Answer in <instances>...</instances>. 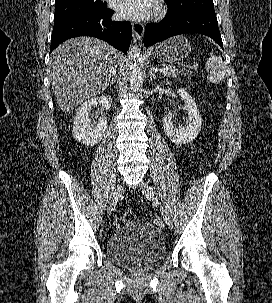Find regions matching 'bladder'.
Wrapping results in <instances>:
<instances>
[{"label": "bladder", "mask_w": 272, "mask_h": 303, "mask_svg": "<svg viewBox=\"0 0 272 303\" xmlns=\"http://www.w3.org/2000/svg\"><path fill=\"white\" fill-rule=\"evenodd\" d=\"M105 252L107 258L118 265L144 271L163 262L166 247L157 228L145 222L131 221L109 236Z\"/></svg>", "instance_id": "obj_1"}]
</instances>
